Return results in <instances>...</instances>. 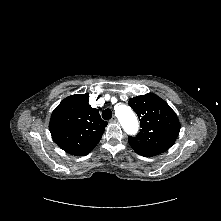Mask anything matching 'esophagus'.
Returning a JSON list of instances; mask_svg holds the SVG:
<instances>
[{
  "instance_id": "1",
  "label": "esophagus",
  "mask_w": 221,
  "mask_h": 221,
  "mask_svg": "<svg viewBox=\"0 0 221 221\" xmlns=\"http://www.w3.org/2000/svg\"><path fill=\"white\" fill-rule=\"evenodd\" d=\"M111 122H116L117 121V118L116 116H113L111 119H110Z\"/></svg>"
}]
</instances>
